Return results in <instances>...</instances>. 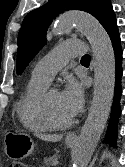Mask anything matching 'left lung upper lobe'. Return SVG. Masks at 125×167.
Listing matches in <instances>:
<instances>
[{"label":"left lung upper lobe","mask_w":125,"mask_h":167,"mask_svg":"<svg viewBox=\"0 0 125 167\" xmlns=\"http://www.w3.org/2000/svg\"><path fill=\"white\" fill-rule=\"evenodd\" d=\"M92 14L107 31L116 20L110 0H49L29 12L18 34L17 73L21 74L32 58L46 44V31L52 20L67 10Z\"/></svg>","instance_id":"1"}]
</instances>
